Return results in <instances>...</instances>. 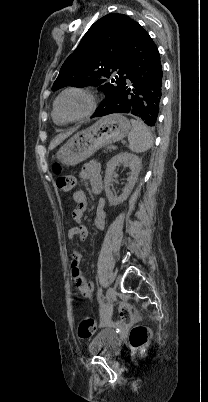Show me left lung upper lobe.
<instances>
[{
    "label": "left lung upper lobe",
    "instance_id": "left-lung-upper-lobe-1",
    "mask_svg": "<svg viewBox=\"0 0 208 402\" xmlns=\"http://www.w3.org/2000/svg\"><path fill=\"white\" fill-rule=\"evenodd\" d=\"M134 23L126 15L117 13L97 20L62 65L52 90L67 85L96 86L105 94L102 106L93 116L99 113L113 99L125 76L126 50Z\"/></svg>",
    "mask_w": 208,
    "mask_h": 402
}]
</instances>
